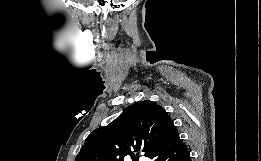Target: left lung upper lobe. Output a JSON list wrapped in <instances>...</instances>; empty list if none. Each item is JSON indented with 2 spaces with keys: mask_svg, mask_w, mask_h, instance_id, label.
Returning <instances> with one entry per match:
<instances>
[{
  "mask_svg": "<svg viewBox=\"0 0 261 161\" xmlns=\"http://www.w3.org/2000/svg\"><path fill=\"white\" fill-rule=\"evenodd\" d=\"M176 128L165 110L145 100L126 108L105 127L94 130L85 140L75 161H124L134 152L143 151L149 157L165 144Z\"/></svg>",
  "mask_w": 261,
  "mask_h": 161,
  "instance_id": "5c2ea615",
  "label": "left lung upper lobe"
}]
</instances>
